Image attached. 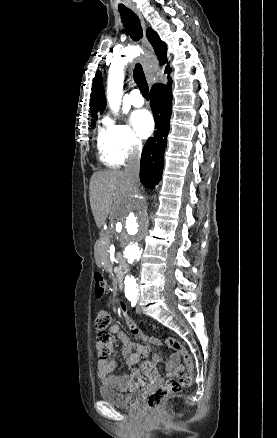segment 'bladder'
<instances>
[{
    "label": "bladder",
    "instance_id": "bladder-1",
    "mask_svg": "<svg viewBox=\"0 0 277 438\" xmlns=\"http://www.w3.org/2000/svg\"><path fill=\"white\" fill-rule=\"evenodd\" d=\"M97 396L106 403L121 409H134L141 401V392L133 391L129 394H123L118 390L109 387L99 389Z\"/></svg>",
    "mask_w": 277,
    "mask_h": 438
}]
</instances>
